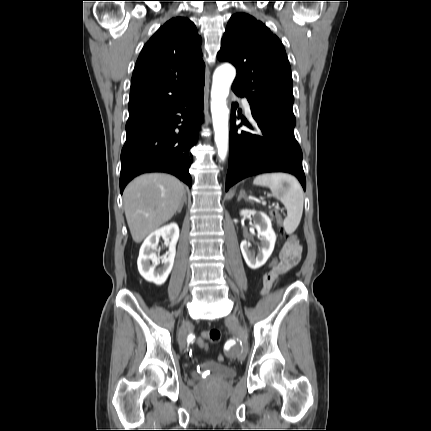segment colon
<instances>
[{
  "mask_svg": "<svg viewBox=\"0 0 431 431\" xmlns=\"http://www.w3.org/2000/svg\"><path fill=\"white\" fill-rule=\"evenodd\" d=\"M274 215L279 218L278 214L274 213ZM281 222V221H280ZM280 232H281V237H284L285 240H293V236L295 235H287L286 232H284V227H280ZM278 259H274L271 258L269 260V265L271 266L272 263H277ZM221 339V332L218 329H210V330H206L202 333V338L201 337H196L195 338V343L197 344V348L199 350H203L206 348V341L212 342V343H217L219 342ZM219 360L220 363L224 362V357L223 356H219Z\"/></svg>",
  "mask_w": 431,
  "mask_h": 431,
  "instance_id": "colon-1",
  "label": "colon"
}]
</instances>
